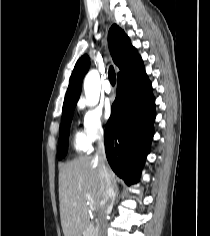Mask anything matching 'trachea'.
<instances>
[{
    "label": "trachea",
    "instance_id": "trachea-1",
    "mask_svg": "<svg viewBox=\"0 0 210 236\" xmlns=\"http://www.w3.org/2000/svg\"><path fill=\"white\" fill-rule=\"evenodd\" d=\"M108 77H109L110 83L112 84V86H114L116 83V74H115L113 66L109 67Z\"/></svg>",
    "mask_w": 210,
    "mask_h": 236
}]
</instances>
